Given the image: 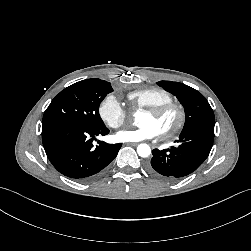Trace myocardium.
Listing matches in <instances>:
<instances>
[{"mask_svg":"<svg viewBox=\"0 0 251 251\" xmlns=\"http://www.w3.org/2000/svg\"><path fill=\"white\" fill-rule=\"evenodd\" d=\"M171 111L176 113L177 121L172 128L159 133L160 137L163 139L172 138L179 134L183 129L186 122V112L184 107L177 102L171 101L159 106L146 108L145 110L146 113H149L154 117H161Z\"/></svg>","mask_w":251,"mask_h":251,"instance_id":"myocardium-1","label":"myocardium"}]
</instances>
